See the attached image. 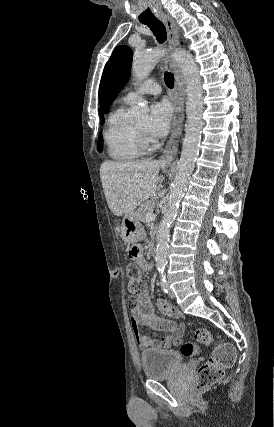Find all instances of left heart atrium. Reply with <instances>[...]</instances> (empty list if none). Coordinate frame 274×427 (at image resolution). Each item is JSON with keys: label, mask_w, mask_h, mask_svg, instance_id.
Masks as SVG:
<instances>
[{"label": "left heart atrium", "mask_w": 274, "mask_h": 427, "mask_svg": "<svg viewBox=\"0 0 274 427\" xmlns=\"http://www.w3.org/2000/svg\"><path fill=\"white\" fill-rule=\"evenodd\" d=\"M172 108L167 101L154 103L150 109V118L147 126V132L153 139L165 136L171 125Z\"/></svg>", "instance_id": "1"}]
</instances>
